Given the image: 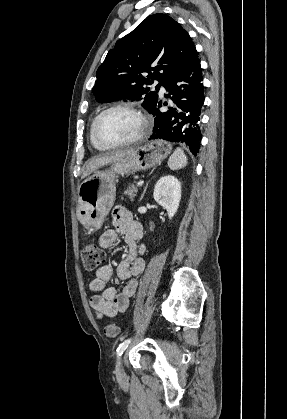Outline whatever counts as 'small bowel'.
Segmentation results:
<instances>
[{
	"label": "small bowel",
	"instance_id": "1",
	"mask_svg": "<svg viewBox=\"0 0 287 419\" xmlns=\"http://www.w3.org/2000/svg\"><path fill=\"white\" fill-rule=\"evenodd\" d=\"M114 229L104 231L99 238V245L103 248H112L117 241L118 232L124 236L128 247L126 258L117 266L116 274L121 280H127L126 285L117 292L113 287H106V283L112 277L110 265L100 267L96 276L90 282V289L93 292H100L90 299V305L98 318L115 317L118 313L124 312L130 298L138 287L137 276L143 271L145 261L143 254L145 247L139 244L142 237L140 224L132 217L131 212L124 207H117L112 214Z\"/></svg>",
	"mask_w": 287,
	"mask_h": 419
}]
</instances>
